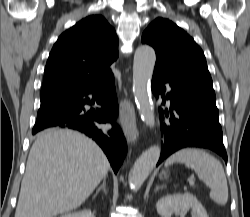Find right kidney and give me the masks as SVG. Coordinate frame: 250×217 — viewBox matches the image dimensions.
Returning <instances> with one entry per match:
<instances>
[{
    "instance_id": "right-kidney-1",
    "label": "right kidney",
    "mask_w": 250,
    "mask_h": 217,
    "mask_svg": "<svg viewBox=\"0 0 250 217\" xmlns=\"http://www.w3.org/2000/svg\"><path fill=\"white\" fill-rule=\"evenodd\" d=\"M61 217H95L90 210H82L80 212L68 213Z\"/></svg>"
}]
</instances>
